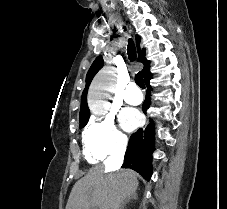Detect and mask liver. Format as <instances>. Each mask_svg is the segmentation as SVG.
I'll use <instances>...</instances> for the list:
<instances>
[{
	"label": "liver",
	"instance_id": "6515ba94",
	"mask_svg": "<svg viewBox=\"0 0 227 209\" xmlns=\"http://www.w3.org/2000/svg\"><path fill=\"white\" fill-rule=\"evenodd\" d=\"M137 177L130 169L106 175L103 167L97 165L75 183L66 209H118L121 203L135 195L139 185Z\"/></svg>",
	"mask_w": 227,
	"mask_h": 209
}]
</instances>
